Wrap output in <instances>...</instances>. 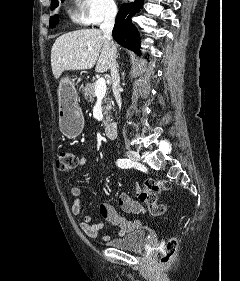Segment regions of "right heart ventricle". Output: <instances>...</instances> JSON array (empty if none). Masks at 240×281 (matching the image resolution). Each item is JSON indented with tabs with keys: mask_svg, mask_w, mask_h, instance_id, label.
Masks as SVG:
<instances>
[{
	"mask_svg": "<svg viewBox=\"0 0 240 281\" xmlns=\"http://www.w3.org/2000/svg\"><path fill=\"white\" fill-rule=\"evenodd\" d=\"M68 15L75 24L86 25L89 23L84 12V0H72Z\"/></svg>",
	"mask_w": 240,
	"mask_h": 281,
	"instance_id": "obj_1",
	"label": "right heart ventricle"
}]
</instances>
